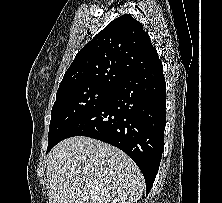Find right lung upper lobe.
I'll return each mask as SVG.
<instances>
[{
	"label": "right lung upper lobe",
	"instance_id": "cb5924a9",
	"mask_svg": "<svg viewBox=\"0 0 222 203\" xmlns=\"http://www.w3.org/2000/svg\"><path fill=\"white\" fill-rule=\"evenodd\" d=\"M159 59L143 25L131 15L114 19L75 56L59 89L73 86L112 88L123 77Z\"/></svg>",
	"mask_w": 222,
	"mask_h": 203
}]
</instances>
